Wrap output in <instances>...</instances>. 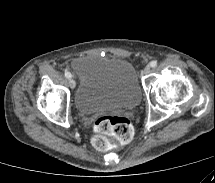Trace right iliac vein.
I'll list each match as a JSON object with an SVG mask.
<instances>
[{
  "mask_svg": "<svg viewBox=\"0 0 215 183\" xmlns=\"http://www.w3.org/2000/svg\"><path fill=\"white\" fill-rule=\"evenodd\" d=\"M69 86H70L72 89L75 88L76 83H75V80H74L73 78H70V79H69Z\"/></svg>",
  "mask_w": 215,
  "mask_h": 183,
  "instance_id": "right-iliac-vein-1",
  "label": "right iliac vein"
}]
</instances>
